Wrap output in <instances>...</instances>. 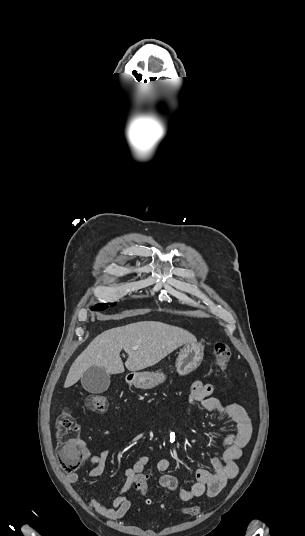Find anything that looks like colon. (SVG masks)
<instances>
[{"mask_svg": "<svg viewBox=\"0 0 305 536\" xmlns=\"http://www.w3.org/2000/svg\"><path fill=\"white\" fill-rule=\"evenodd\" d=\"M213 356L218 368L225 372L228 368V361L230 358L229 345L224 341H216L213 344ZM86 407L96 413H101L108 408L107 397L100 394H90L85 398ZM56 439L57 441H63V443H57L55 450L57 452V460L61 463L63 471H78L79 461L82 453L85 452L86 447L82 444L80 435H77L80 430V425L70 411H62L59 413L56 420ZM132 489L139 490L141 497L148 501L150 498L147 484L144 481L142 474L135 476V481L131 484ZM167 509V506H166ZM181 509H185L188 512L190 518L195 519L198 517L199 512L193 508L192 504L187 503L185 506H181Z\"/></svg>", "mask_w": 305, "mask_h": 536, "instance_id": "1", "label": "colon"}]
</instances>
